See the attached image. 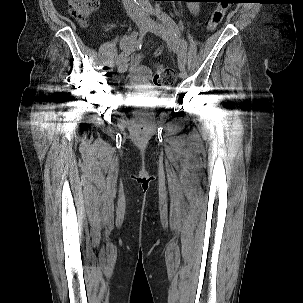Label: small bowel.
<instances>
[{"instance_id":"small-bowel-1","label":"small bowel","mask_w":303,"mask_h":303,"mask_svg":"<svg viewBox=\"0 0 303 303\" xmlns=\"http://www.w3.org/2000/svg\"><path fill=\"white\" fill-rule=\"evenodd\" d=\"M189 8L192 14H197V5H190ZM142 57L143 55L141 54L131 56L130 70L135 77V82L143 86L146 84V79L149 75V70L145 66H142L140 64Z\"/></svg>"}]
</instances>
